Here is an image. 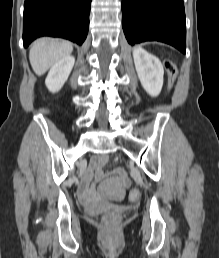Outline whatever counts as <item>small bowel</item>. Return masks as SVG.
<instances>
[{"label":"small bowel","instance_id":"c3829d8e","mask_svg":"<svg viewBox=\"0 0 219 258\" xmlns=\"http://www.w3.org/2000/svg\"><path fill=\"white\" fill-rule=\"evenodd\" d=\"M107 157L106 156H99L95 157L92 160L91 164V169L95 172L96 178L98 180H101L103 178L102 174V166L105 163ZM118 176L119 178H122L125 184H132L133 180L132 179H126L125 176H127V171H118ZM114 178H117V175H114ZM81 195L84 199H89L92 200L95 196V188L90 185L89 183V177L87 176L86 179L84 180L82 187H81Z\"/></svg>","mask_w":219,"mask_h":258}]
</instances>
